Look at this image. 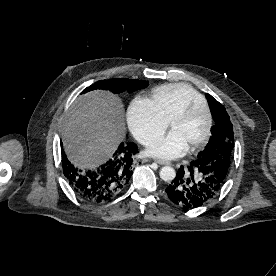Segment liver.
<instances>
[{
    "label": "liver",
    "mask_w": 276,
    "mask_h": 276,
    "mask_svg": "<svg viewBox=\"0 0 276 276\" xmlns=\"http://www.w3.org/2000/svg\"><path fill=\"white\" fill-rule=\"evenodd\" d=\"M122 101L95 90L77 98L63 123V146L68 159L81 169H93L116 151L125 136Z\"/></svg>",
    "instance_id": "liver-1"
}]
</instances>
